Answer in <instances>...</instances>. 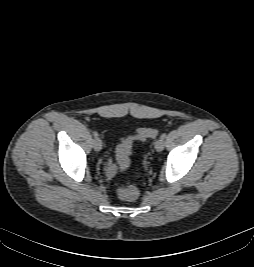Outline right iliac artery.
I'll list each match as a JSON object with an SVG mask.
<instances>
[{
  "label": "right iliac artery",
  "mask_w": 254,
  "mask_h": 267,
  "mask_svg": "<svg viewBox=\"0 0 254 267\" xmlns=\"http://www.w3.org/2000/svg\"><path fill=\"white\" fill-rule=\"evenodd\" d=\"M93 136H94L95 138H97V137H98V133H97L96 131H94V132H93Z\"/></svg>",
  "instance_id": "obj_1"
}]
</instances>
